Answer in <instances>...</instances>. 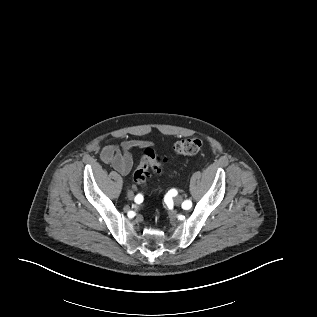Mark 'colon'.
<instances>
[{"label": "colon", "instance_id": "colon-1", "mask_svg": "<svg viewBox=\"0 0 317 317\" xmlns=\"http://www.w3.org/2000/svg\"><path fill=\"white\" fill-rule=\"evenodd\" d=\"M201 140L197 137L185 138L174 144V151L181 155L196 154L201 148ZM160 173L163 169L162 159L151 148L144 149L140 163L134 172L133 179L139 185H145L148 170Z\"/></svg>", "mask_w": 317, "mask_h": 317}]
</instances>
